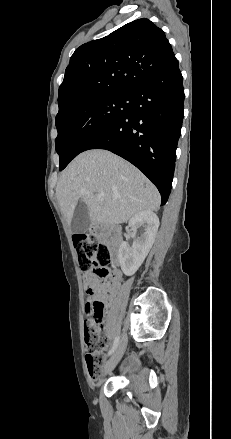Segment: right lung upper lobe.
Segmentation results:
<instances>
[{
	"mask_svg": "<svg viewBox=\"0 0 231 439\" xmlns=\"http://www.w3.org/2000/svg\"><path fill=\"white\" fill-rule=\"evenodd\" d=\"M175 60L162 29L147 18L132 21L75 50L59 87L58 114L89 98L132 94Z\"/></svg>",
	"mask_w": 231,
	"mask_h": 439,
	"instance_id": "obj_1",
	"label": "right lung upper lobe"
}]
</instances>
